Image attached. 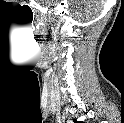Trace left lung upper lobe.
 Listing matches in <instances>:
<instances>
[{
  "instance_id": "obj_1",
  "label": "left lung upper lobe",
  "mask_w": 124,
  "mask_h": 123,
  "mask_svg": "<svg viewBox=\"0 0 124 123\" xmlns=\"http://www.w3.org/2000/svg\"><path fill=\"white\" fill-rule=\"evenodd\" d=\"M75 123L77 122L75 119L73 120Z\"/></svg>"
}]
</instances>
